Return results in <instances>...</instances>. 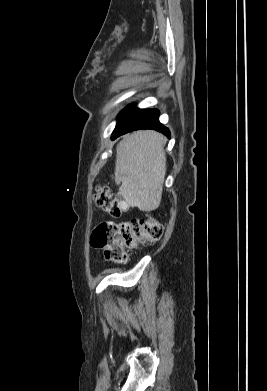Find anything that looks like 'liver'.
Masks as SVG:
<instances>
[{"instance_id":"obj_1","label":"liver","mask_w":267,"mask_h":391,"mask_svg":"<svg viewBox=\"0 0 267 391\" xmlns=\"http://www.w3.org/2000/svg\"><path fill=\"white\" fill-rule=\"evenodd\" d=\"M166 138L143 130L126 135L116 148L115 183L128 207L140 211L157 209L166 174Z\"/></svg>"}]
</instances>
